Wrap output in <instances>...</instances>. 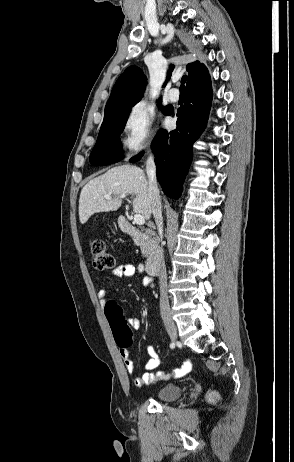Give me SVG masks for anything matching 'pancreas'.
<instances>
[{"mask_svg":"<svg viewBox=\"0 0 294 462\" xmlns=\"http://www.w3.org/2000/svg\"><path fill=\"white\" fill-rule=\"evenodd\" d=\"M134 242L141 248V253L143 257H148L150 255V242L134 238Z\"/></svg>","mask_w":294,"mask_h":462,"instance_id":"1","label":"pancreas"}]
</instances>
